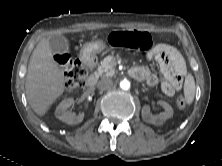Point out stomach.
<instances>
[{"mask_svg":"<svg viewBox=\"0 0 222 166\" xmlns=\"http://www.w3.org/2000/svg\"><path fill=\"white\" fill-rule=\"evenodd\" d=\"M106 48V43L102 40H95L87 43L84 46V54L87 56H93L97 53H101Z\"/></svg>","mask_w":222,"mask_h":166,"instance_id":"0dacf381","label":"stomach"}]
</instances>
